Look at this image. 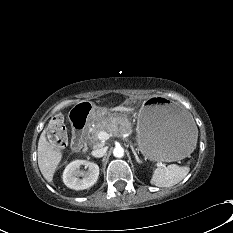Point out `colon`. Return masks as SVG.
<instances>
[{"label":"colon","mask_w":233,"mask_h":233,"mask_svg":"<svg viewBox=\"0 0 233 233\" xmlns=\"http://www.w3.org/2000/svg\"><path fill=\"white\" fill-rule=\"evenodd\" d=\"M48 136L52 142L59 146H64L66 143V130L63 122L59 118H54L48 127Z\"/></svg>","instance_id":"colon-1"}]
</instances>
